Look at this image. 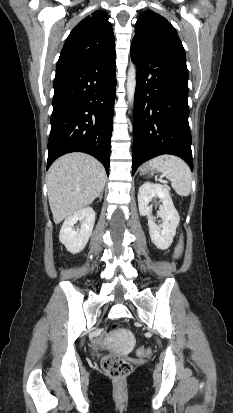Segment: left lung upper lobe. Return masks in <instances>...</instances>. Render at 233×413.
<instances>
[{"label":"left lung upper lobe","instance_id":"left-lung-upper-lobe-1","mask_svg":"<svg viewBox=\"0 0 233 413\" xmlns=\"http://www.w3.org/2000/svg\"><path fill=\"white\" fill-rule=\"evenodd\" d=\"M132 45L171 58L186 66L183 45L175 28L161 15L145 11L136 22Z\"/></svg>","mask_w":233,"mask_h":413}]
</instances>
